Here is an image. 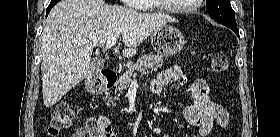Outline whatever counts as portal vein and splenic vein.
<instances>
[{
	"mask_svg": "<svg viewBox=\"0 0 280 137\" xmlns=\"http://www.w3.org/2000/svg\"><path fill=\"white\" fill-rule=\"evenodd\" d=\"M117 41V37H113L111 40H109L106 45H105V49H110L111 47H113L115 45ZM132 83H136V79L134 78Z\"/></svg>",
	"mask_w": 280,
	"mask_h": 137,
	"instance_id": "18ae733b",
	"label": "portal vein and splenic vein"
}]
</instances>
